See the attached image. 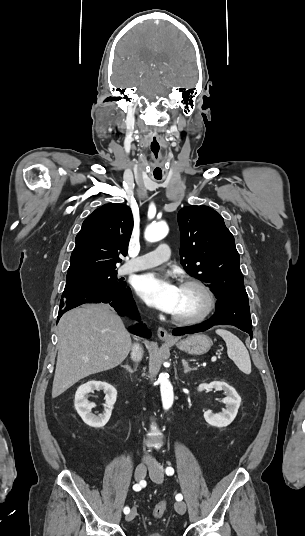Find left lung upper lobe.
Instances as JSON below:
<instances>
[{
	"instance_id": "left-lung-upper-lobe-1",
	"label": "left lung upper lobe",
	"mask_w": 305,
	"mask_h": 536,
	"mask_svg": "<svg viewBox=\"0 0 305 536\" xmlns=\"http://www.w3.org/2000/svg\"><path fill=\"white\" fill-rule=\"evenodd\" d=\"M181 264L208 283L218 299L248 297L234 237L222 216L208 206H188L178 213Z\"/></svg>"
}]
</instances>
